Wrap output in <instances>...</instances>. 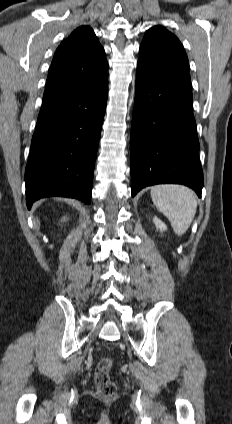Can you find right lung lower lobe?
I'll return each mask as SVG.
<instances>
[{"mask_svg": "<svg viewBox=\"0 0 232 424\" xmlns=\"http://www.w3.org/2000/svg\"><path fill=\"white\" fill-rule=\"evenodd\" d=\"M108 81L43 99L25 171L26 202L71 197L90 204Z\"/></svg>", "mask_w": 232, "mask_h": 424, "instance_id": "right-lung-lower-lobe-1", "label": "right lung lower lobe"}]
</instances>
